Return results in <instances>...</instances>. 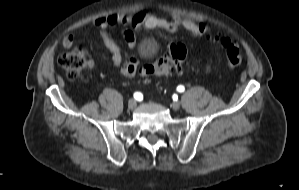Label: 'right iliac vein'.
I'll list each match as a JSON object with an SVG mask.
<instances>
[{
	"label": "right iliac vein",
	"mask_w": 299,
	"mask_h": 190,
	"mask_svg": "<svg viewBox=\"0 0 299 190\" xmlns=\"http://www.w3.org/2000/svg\"><path fill=\"white\" fill-rule=\"evenodd\" d=\"M135 107H136V101H135L134 99H130V100L128 101V108H129L130 110H133V109H135Z\"/></svg>",
	"instance_id": "1"
}]
</instances>
